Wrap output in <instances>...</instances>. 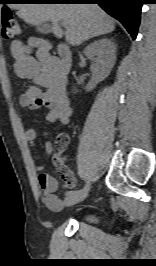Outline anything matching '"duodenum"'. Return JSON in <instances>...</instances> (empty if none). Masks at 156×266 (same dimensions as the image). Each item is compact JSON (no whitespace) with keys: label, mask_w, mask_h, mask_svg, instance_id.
Segmentation results:
<instances>
[{"label":"duodenum","mask_w":156,"mask_h":266,"mask_svg":"<svg viewBox=\"0 0 156 266\" xmlns=\"http://www.w3.org/2000/svg\"><path fill=\"white\" fill-rule=\"evenodd\" d=\"M48 51V48H45ZM72 65V52L67 44L58 46V59L55 60V68L58 77L62 81H66L67 74Z\"/></svg>","instance_id":"duodenum-1"}]
</instances>
